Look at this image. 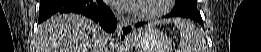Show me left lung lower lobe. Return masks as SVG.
Returning <instances> with one entry per match:
<instances>
[{"label":"left lung lower lobe","mask_w":261,"mask_h":52,"mask_svg":"<svg viewBox=\"0 0 261 52\" xmlns=\"http://www.w3.org/2000/svg\"><path fill=\"white\" fill-rule=\"evenodd\" d=\"M169 17H185V18H191V19H193V20H195V21H197V22H199V23H202V20H197V19H195V18H193L192 16H190V15H186V14H184V13H179V12H171V13H169V14H167L166 16H165V18H169ZM143 24H145V22H140V23H137L135 26L136 27H139V26H141V25H143Z\"/></svg>","instance_id":"1"}]
</instances>
